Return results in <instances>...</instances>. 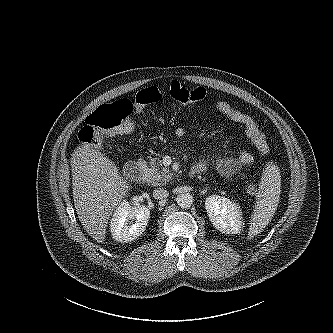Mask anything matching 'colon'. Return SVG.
Segmentation results:
<instances>
[{"label": "colon", "mask_w": 333, "mask_h": 333, "mask_svg": "<svg viewBox=\"0 0 333 333\" xmlns=\"http://www.w3.org/2000/svg\"><path fill=\"white\" fill-rule=\"evenodd\" d=\"M170 97L181 104H193L209 98L208 92L202 87H186L173 81L169 88ZM162 99L160 90L149 87L136 94L135 101L120 99L101 105L87 119L85 126L79 132V139L87 144L99 145L111 134H127L134 130V115L145 106L159 102ZM247 191L256 194L258 188L248 185Z\"/></svg>", "instance_id": "colon-1"}]
</instances>
